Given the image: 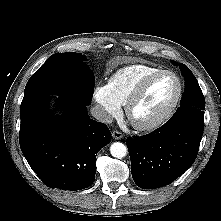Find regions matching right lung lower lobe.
Returning <instances> with one entry per match:
<instances>
[{
    "instance_id": "right-lung-lower-lobe-1",
    "label": "right lung lower lobe",
    "mask_w": 221,
    "mask_h": 221,
    "mask_svg": "<svg viewBox=\"0 0 221 221\" xmlns=\"http://www.w3.org/2000/svg\"><path fill=\"white\" fill-rule=\"evenodd\" d=\"M49 97L20 113L19 143L32 170L45 185L63 190L89 187L96 174L98 151L109 144L111 133L103 123L90 119L84 101L59 97L62 119L48 111Z\"/></svg>"
}]
</instances>
